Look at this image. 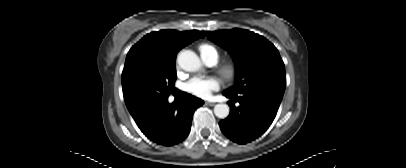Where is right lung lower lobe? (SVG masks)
<instances>
[{
	"mask_svg": "<svg viewBox=\"0 0 406 168\" xmlns=\"http://www.w3.org/2000/svg\"><path fill=\"white\" fill-rule=\"evenodd\" d=\"M203 104L201 99L184 93L171 104L167 97L131 115L149 139L161 145L172 146L188 136L193 113Z\"/></svg>",
	"mask_w": 406,
	"mask_h": 168,
	"instance_id": "right-lung-lower-lobe-1",
	"label": "right lung lower lobe"
}]
</instances>
